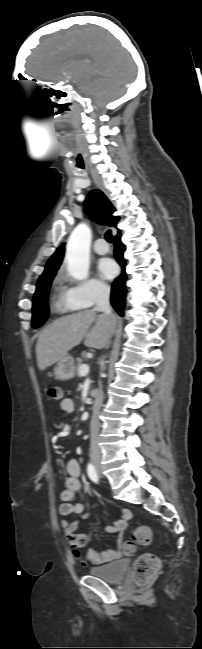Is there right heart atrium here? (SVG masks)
Here are the masks:
<instances>
[{
    "instance_id": "1",
    "label": "right heart atrium",
    "mask_w": 202,
    "mask_h": 649,
    "mask_svg": "<svg viewBox=\"0 0 202 649\" xmlns=\"http://www.w3.org/2000/svg\"><path fill=\"white\" fill-rule=\"evenodd\" d=\"M108 293V285L101 280L89 278L74 281L66 288L63 303L69 309L89 308L106 298Z\"/></svg>"
}]
</instances>
